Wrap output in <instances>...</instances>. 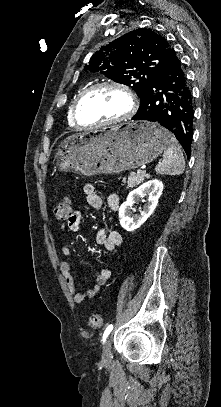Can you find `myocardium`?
I'll list each match as a JSON object with an SVG mask.
<instances>
[{"label":"myocardium","instance_id":"f54148a6","mask_svg":"<svg viewBox=\"0 0 221 407\" xmlns=\"http://www.w3.org/2000/svg\"><path fill=\"white\" fill-rule=\"evenodd\" d=\"M103 88H116L119 89L121 91H123L126 96L128 97L129 100V110L127 111L126 114H124L123 116L116 118L114 120H110V121H106V122H101L100 124H98L97 126H90V128H95V127H100L103 125H113V124H118L121 123L123 121H126L127 119L131 118L137 108H138V101L136 98V95L134 94V92L130 89V87H128L125 84L122 83H118V82H102V83H97L94 84L90 87H88L87 89H85L76 99L74 106L72 108V112H71V118L73 123L79 127V128H83L84 125L81 123L80 118H79V109L82 105V103L95 91L99 90V89H103Z\"/></svg>","mask_w":221,"mask_h":407}]
</instances>
